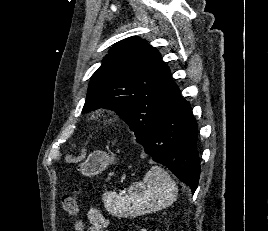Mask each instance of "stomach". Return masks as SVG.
I'll use <instances>...</instances> for the list:
<instances>
[{
  "mask_svg": "<svg viewBox=\"0 0 268 231\" xmlns=\"http://www.w3.org/2000/svg\"><path fill=\"white\" fill-rule=\"evenodd\" d=\"M115 163V156L103 151H95L80 165V172L85 176L101 173L110 164Z\"/></svg>",
  "mask_w": 268,
  "mask_h": 231,
  "instance_id": "0dacf381",
  "label": "stomach"
}]
</instances>
